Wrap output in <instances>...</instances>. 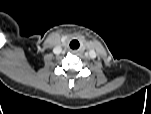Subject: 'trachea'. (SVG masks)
<instances>
[{
    "mask_svg": "<svg viewBox=\"0 0 151 114\" xmlns=\"http://www.w3.org/2000/svg\"><path fill=\"white\" fill-rule=\"evenodd\" d=\"M69 46H70V48H71L72 50H76V49H78V48H79L80 43H79V41H78V40L73 39V40H71V42H70Z\"/></svg>",
    "mask_w": 151,
    "mask_h": 114,
    "instance_id": "trachea-1",
    "label": "trachea"
}]
</instances>
